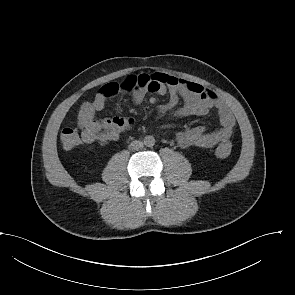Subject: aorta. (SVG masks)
Segmentation results:
<instances>
[{
	"label": "aorta",
	"mask_w": 295,
	"mask_h": 295,
	"mask_svg": "<svg viewBox=\"0 0 295 295\" xmlns=\"http://www.w3.org/2000/svg\"><path fill=\"white\" fill-rule=\"evenodd\" d=\"M155 144V139L153 136H146L144 138V145L148 147H152Z\"/></svg>",
	"instance_id": "obj_1"
}]
</instances>
